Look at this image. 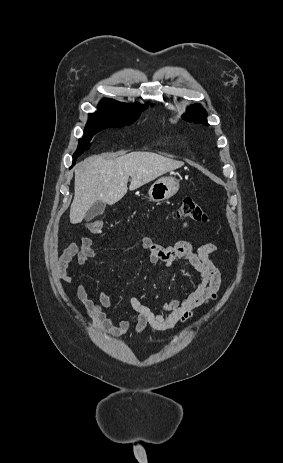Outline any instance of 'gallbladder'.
Instances as JSON below:
<instances>
[{
	"instance_id": "1",
	"label": "gallbladder",
	"mask_w": 283,
	"mask_h": 463,
	"mask_svg": "<svg viewBox=\"0 0 283 463\" xmlns=\"http://www.w3.org/2000/svg\"><path fill=\"white\" fill-rule=\"evenodd\" d=\"M106 208V204L102 201H97L93 206L88 210V212L85 215V220L90 221L94 219L95 217L101 215L104 213Z\"/></svg>"
}]
</instances>
